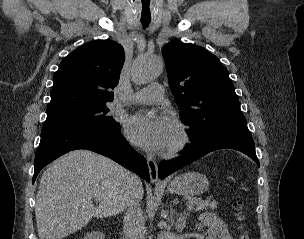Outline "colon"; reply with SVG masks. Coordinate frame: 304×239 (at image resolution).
<instances>
[{"mask_svg":"<svg viewBox=\"0 0 304 239\" xmlns=\"http://www.w3.org/2000/svg\"><path fill=\"white\" fill-rule=\"evenodd\" d=\"M233 206H234V209H235L236 212H237L238 218H239V219H242V217H243V212H242V202H241L240 198L237 197V198L235 199V201H234V203H233ZM241 239H249V238H248L247 234L242 233V234H241Z\"/></svg>","mask_w":304,"mask_h":239,"instance_id":"1","label":"colon"}]
</instances>
